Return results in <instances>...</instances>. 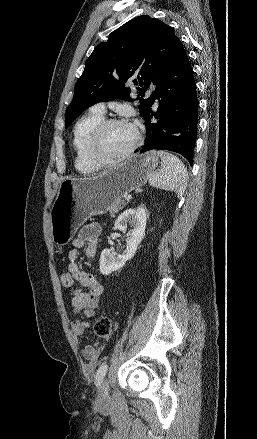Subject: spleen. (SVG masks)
Listing matches in <instances>:
<instances>
[{
    "label": "spleen",
    "instance_id": "1",
    "mask_svg": "<svg viewBox=\"0 0 257 439\" xmlns=\"http://www.w3.org/2000/svg\"><path fill=\"white\" fill-rule=\"evenodd\" d=\"M161 158V169L153 172L149 178L152 187L171 190L182 197L187 186L188 173L181 160L166 151H158Z\"/></svg>",
    "mask_w": 257,
    "mask_h": 439
}]
</instances>
